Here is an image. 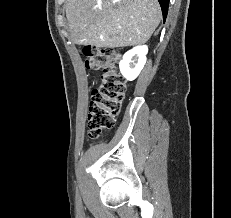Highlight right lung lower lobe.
<instances>
[{
    "label": "right lung lower lobe",
    "mask_w": 231,
    "mask_h": 218,
    "mask_svg": "<svg viewBox=\"0 0 231 218\" xmlns=\"http://www.w3.org/2000/svg\"><path fill=\"white\" fill-rule=\"evenodd\" d=\"M162 8L163 20L165 21L168 13L169 0H158Z\"/></svg>",
    "instance_id": "1"
}]
</instances>
